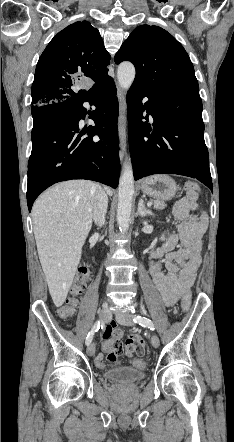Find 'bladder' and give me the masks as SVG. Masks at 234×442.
<instances>
[{"label": "bladder", "instance_id": "obj_1", "mask_svg": "<svg viewBox=\"0 0 234 442\" xmlns=\"http://www.w3.org/2000/svg\"><path fill=\"white\" fill-rule=\"evenodd\" d=\"M146 373L144 369L134 367H118L109 370L106 378L115 383L132 384L145 379Z\"/></svg>", "mask_w": 234, "mask_h": 442}]
</instances>
